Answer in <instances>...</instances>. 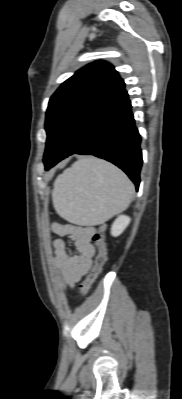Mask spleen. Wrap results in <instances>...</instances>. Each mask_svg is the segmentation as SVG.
Here are the masks:
<instances>
[{"mask_svg":"<svg viewBox=\"0 0 182 399\" xmlns=\"http://www.w3.org/2000/svg\"><path fill=\"white\" fill-rule=\"evenodd\" d=\"M133 194L134 186L123 171L102 159L84 157L56 178L52 200L62 218L89 226L125 210Z\"/></svg>","mask_w":182,"mask_h":399,"instance_id":"obj_1","label":"spleen"}]
</instances>
